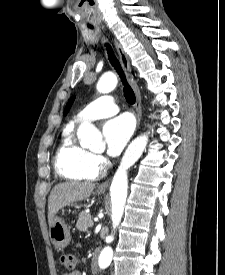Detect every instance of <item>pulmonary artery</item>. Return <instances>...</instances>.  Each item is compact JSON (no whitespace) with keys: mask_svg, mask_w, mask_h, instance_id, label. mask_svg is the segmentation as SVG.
I'll use <instances>...</instances> for the list:
<instances>
[{"mask_svg":"<svg viewBox=\"0 0 225 275\" xmlns=\"http://www.w3.org/2000/svg\"><path fill=\"white\" fill-rule=\"evenodd\" d=\"M119 111V107L110 95H103L83 110H81L76 117L77 122H89L99 118L111 116Z\"/></svg>","mask_w":225,"mask_h":275,"instance_id":"1","label":"pulmonary artery"}]
</instances>
